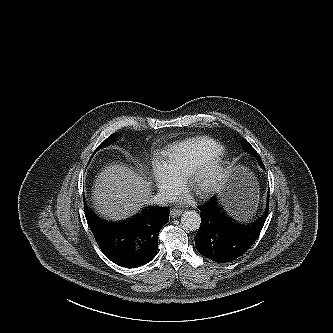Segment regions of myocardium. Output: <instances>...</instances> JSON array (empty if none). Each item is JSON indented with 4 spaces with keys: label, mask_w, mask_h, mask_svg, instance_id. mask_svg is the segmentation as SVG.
I'll use <instances>...</instances> for the list:
<instances>
[{
    "label": "myocardium",
    "mask_w": 333,
    "mask_h": 333,
    "mask_svg": "<svg viewBox=\"0 0 333 333\" xmlns=\"http://www.w3.org/2000/svg\"><path fill=\"white\" fill-rule=\"evenodd\" d=\"M228 162L224 151L211 156L192 168L185 177L187 188L200 198H207L218 192L228 178ZM202 178H207V183L198 187Z\"/></svg>",
    "instance_id": "myocardium-1"
}]
</instances>
